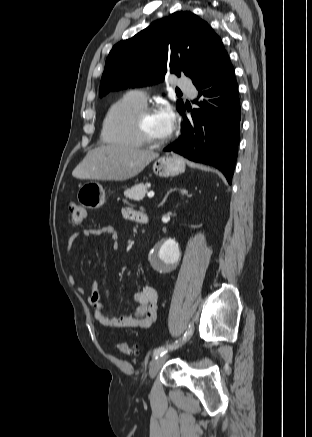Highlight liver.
<instances>
[{
	"instance_id": "1",
	"label": "liver",
	"mask_w": 312,
	"mask_h": 437,
	"mask_svg": "<svg viewBox=\"0 0 312 437\" xmlns=\"http://www.w3.org/2000/svg\"><path fill=\"white\" fill-rule=\"evenodd\" d=\"M158 156L151 150L102 145L90 150L72 175L78 179L125 181L138 175Z\"/></svg>"
}]
</instances>
